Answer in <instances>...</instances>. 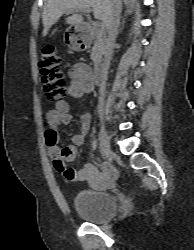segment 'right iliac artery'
Listing matches in <instances>:
<instances>
[{
  "label": "right iliac artery",
  "instance_id": "obj_1",
  "mask_svg": "<svg viewBox=\"0 0 194 250\" xmlns=\"http://www.w3.org/2000/svg\"><path fill=\"white\" fill-rule=\"evenodd\" d=\"M97 147H98V144H97V140L95 139L92 142V148L95 150V149H97Z\"/></svg>",
  "mask_w": 194,
  "mask_h": 250
}]
</instances>
